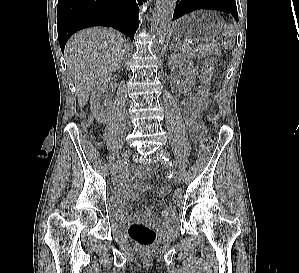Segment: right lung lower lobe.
I'll return each instance as SVG.
<instances>
[{
	"label": "right lung lower lobe",
	"instance_id": "right-lung-lower-lobe-1",
	"mask_svg": "<svg viewBox=\"0 0 299 273\" xmlns=\"http://www.w3.org/2000/svg\"><path fill=\"white\" fill-rule=\"evenodd\" d=\"M146 0H59L58 40L62 52L67 40L78 30L92 26L112 27L131 40L139 25V5Z\"/></svg>",
	"mask_w": 299,
	"mask_h": 273
}]
</instances>
